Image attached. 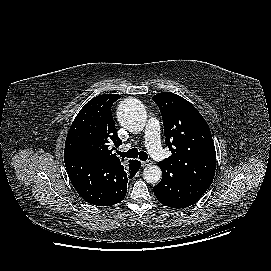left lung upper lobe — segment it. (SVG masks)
<instances>
[{"label":"left lung upper lobe","mask_w":271,"mask_h":271,"mask_svg":"<svg viewBox=\"0 0 271 271\" xmlns=\"http://www.w3.org/2000/svg\"><path fill=\"white\" fill-rule=\"evenodd\" d=\"M164 124L165 142L172 155L159 167L178 171L210 187L216 170V151L211 131L199 111L172 92L152 97Z\"/></svg>","instance_id":"left-lung-upper-lobe-1"}]
</instances>
